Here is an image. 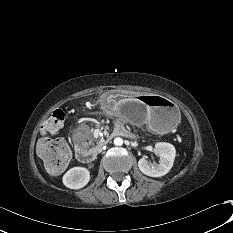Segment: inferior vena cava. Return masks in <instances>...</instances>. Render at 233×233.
<instances>
[{
  "label": "inferior vena cava",
  "mask_w": 233,
  "mask_h": 233,
  "mask_svg": "<svg viewBox=\"0 0 233 233\" xmlns=\"http://www.w3.org/2000/svg\"><path fill=\"white\" fill-rule=\"evenodd\" d=\"M98 151L101 152L102 151V146L98 148Z\"/></svg>",
  "instance_id": "obj_1"
}]
</instances>
